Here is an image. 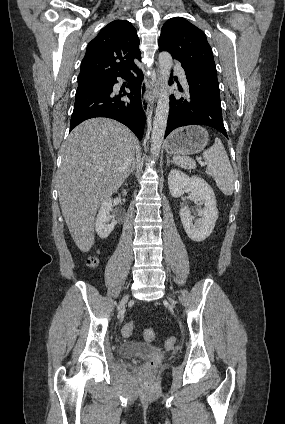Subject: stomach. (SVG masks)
I'll use <instances>...</instances> for the list:
<instances>
[{
  "mask_svg": "<svg viewBox=\"0 0 285 424\" xmlns=\"http://www.w3.org/2000/svg\"><path fill=\"white\" fill-rule=\"evenodd\" d=\"M208 143V132L200 126H188L175 130L165 142L172 154L191 155L201 152Z\"/></svg>",
  "mask_w": 285,
  "mask_h": 424,
  "instance_id": "obj_1",
  "label": "stomach"
}]
</instances>
